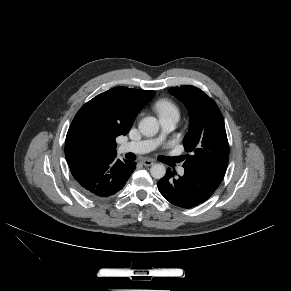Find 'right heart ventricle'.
I'll use <instances>...</instances> for the list:
<instances>
[{"instance_id":"obj_1","label":"right heart ventricle","mask_w":291,"mask_h":291,"mask_svg":"<svg viewBox=\"0 0 291 291\" xmlns=\"http://www.w3.org/2000/svg\"><path fill=\"white\" fill-rule=\"evenodd\" d=\"M154 109L158 113L159 117L178 116L180 114L179 107L172 100L168 98L158 99L154 103Z\"/></svg>"}]
</instances>
